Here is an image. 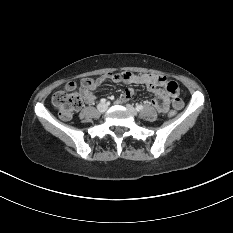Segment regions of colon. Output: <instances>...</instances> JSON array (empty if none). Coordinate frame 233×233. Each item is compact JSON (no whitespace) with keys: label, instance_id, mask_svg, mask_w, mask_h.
<instances>
[{"label":"colon","instance_id":"obj_1","mask_svg":"<svg viewBox=\"0 0 233 233\" xmlns=\"http://www.w3.org/2000/svg\"><path fill=\"white\" fill-rule=\"evenodd\" d=\"M92 82L91 80H85L82 84L83 88L79 91H59L53 95L52 104L61 119L70 120L74 113L81 108L84 91L91 86ZM73 87V83H70L68 86L70 90L73 89ZM176 113V110H172L169 116L173 117Z\"/></svg>","mask_w":233,"mask_h":233}]
</instances>
